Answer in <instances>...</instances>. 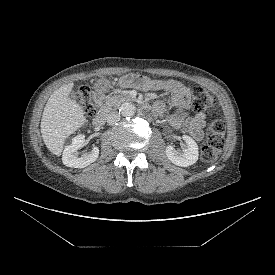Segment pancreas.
I'll use <instances>...</instances> for the list:
<instances>
[{
	"instance_id": "obj_1",
	"label": "pancreas",
	"mask_w": 275,
	"mask_h": 275,
	"mask_svg": "<svg viewBox=\"0 0 275 275\" xmlns=\"http://www.w3.org/2000/svg\"><path fill=\"white\" fill-rule=\"evenodd\" d=\"M132 100L131 96L125 91H114L112 94L108 95L104 100L103 109L109 110L112 107H117L124 101Z\"/></svg>"
}]
</instances>
